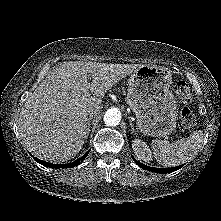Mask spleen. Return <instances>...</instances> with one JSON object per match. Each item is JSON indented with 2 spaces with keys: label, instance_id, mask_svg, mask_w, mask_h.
<instances>
[{
  "label": "spleen",
  "instance_id": "3e777b00",
  "mask_svg": "<svg viewBox=\"0 0 221 221\" xmlns=\"http://www.w3.org/2000/svg\"><path fill=\"white\" fill-rule=\"evenodd\" d=\"M203 139V132L198 130L188 138H182L172 143H168L165 140H153L151 147L159 164L165 167H174L194 157Z\"/></svg>",
  "mask_w": 221,
  "mask_h": 221
}]
</instances>
